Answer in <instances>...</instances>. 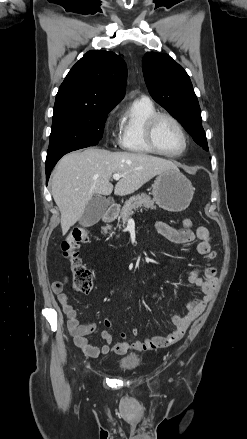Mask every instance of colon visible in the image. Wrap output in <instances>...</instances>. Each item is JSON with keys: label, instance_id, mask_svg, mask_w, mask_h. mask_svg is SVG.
<instances>
[{"label": "colon", "instance_id": "1", "mask_svg": "<svg viewBox=\"0 0 247 439\" xmlns=\"http://www.w3.org/2000/svg\"><path fill=\"white\" fill-rule=\"evenodd\" d=\"M184 227H191L190 219L183 220ZM88 240V233L83 228H74L61 243V250L67 261L68 270L73 278L74 288L82 293H88L93 286V274L82 262L79 256V248Z\"/></svg>", "mask_w": 247, "mask_h": 439}]
</instances>
